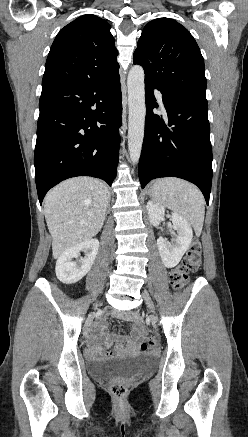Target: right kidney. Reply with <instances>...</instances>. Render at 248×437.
Listing matches in <instances>:
<instances>
[{
    "label": "right kidney",
    "mask_w": 248,
    "mask_h": 437,
    "mask_svg": "<svg viewBox=\"0 0 248 437\" xmlns=\"http://www.w3.org/2000/svg\"><path fill=\"white\" fill-rule=\"evenodd\" d=\"M99 249L97 239H89L66 250L56 262V276L65 284H73L80 281L91 269ZM85 253L84 258L79 261H72Z\"/></svg>",
    "instance_id": "right-kidney-1"
}]
</instances>
